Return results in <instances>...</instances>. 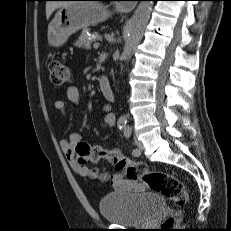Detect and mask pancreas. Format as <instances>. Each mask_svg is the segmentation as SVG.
Wrapping results in <instances>:
<instances>
[{
    "label": "pancreas",
    "instance_id": "obj_1",
    "mask_svg": "<svg viewBox=\"0 0 231 231\" xmlns=\"http://www.w3.org/2000/svg\"><path fill=\"white\" fill-rule=\"evenodd\" d=\"M90 30L88 28L83 29L78 41H76L75 45L79 48L90 49L91 44L98 39V33H94L95 38L89 39L87 33Z\"/></svg>",
    "mask_w": 231,
    "mask_h": 231
}]
</instances>
